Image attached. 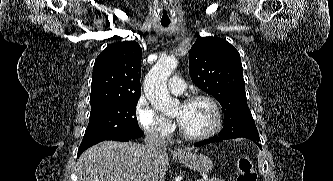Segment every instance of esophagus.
Here are the masks:
<instances>
[{
	"label": "esophagus",
	"mask_w": 333,
	"mask_h": 181,
	"mask_svg": "<svg viewBox=\"0 0 333 181\" xmlns=\"http://www.w3.org/2000/svg\"><path fill=\"white\" fill-rule=\"evenodd\" d=\"M175 152L178 154H184L185 150L181 147H175Z\"/></svg>",
	"instance_id": "esophagus-1"
}]
</instances>
